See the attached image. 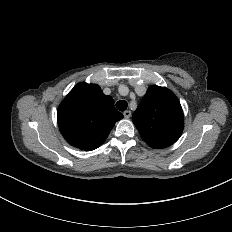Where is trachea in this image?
<instances>
[{"mask_svg":"<svg viewBox=\"0 0 232 232\" xmlns=\"http://www.w3.org/2000/svg\"><path fill=\"white\" fill-rule=\"evenodd\" d=\"M116 107L119 111H125L128 107V103L125 100H119L116 103Z\"/></svg>","mask_w":232,"mask_h":232,"instance_id":"1","label":"trachea"}]
</instances>
